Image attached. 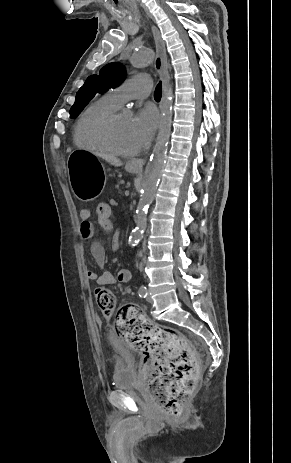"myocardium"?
<instances>
[{"instance_id": "1", "label": "myocardium", "mask_w": 291, "mask_h": 463, "mask_svg": "<svg viewBox=\"0 0 291 463\" xmlns=\"http://www.w3.org/2000/svg\"><path fill=\"white\" fill-rule=\"evenodd\" d=\"M120 115V112L115 111L112 114L98 120L91 127L90 134L93 140L101 145L106 151L122 157H134L139 154V148L134 151H125L120 149L112 139V128Z\"/></svg>"}]
</instances>
